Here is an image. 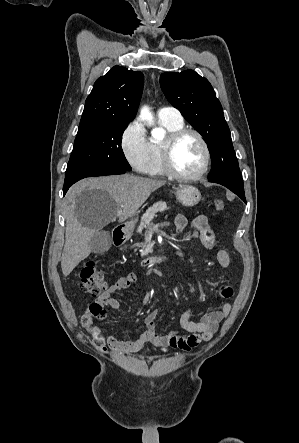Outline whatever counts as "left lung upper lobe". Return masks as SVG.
Segmentation results:
<instances>
[{"instance_id":"1","label":"left lung upper lobe","mask_w":299,"mask_h":443,"mask_svg":"<svg viewBox=\"0 0 299 443\" xmlns=\"http://www.w3.org/2000/svg\"><path fill=\"white\" fill-rule=\"evenodd\" d=\"M168 101L203 136L211 155L209 179L243 183L222 106L209 81L193 70L161 74Z\"/></svg>"}]
</instances>
